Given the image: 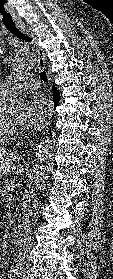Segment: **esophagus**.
Segmentation results:
<instances>
[{
  "label": "esophagus",
  "instance_id": "obj_1",
  "mask_svg": "<svg viewBox=\"0 0 113 279\" xmlns=\"http://www.w3.org/2000/svg\"><path fill=\"white\" fill-rule=\"evenodd\" d=\"M18 28L27 36L32 38L34 42V49L37 53L38 60H37V66L39 69H45L46 68V54L42 48L38 46V37L34 33V31L31 29L30 26L25 24H18Z\"/></svg>",
  "mask_w": 113,
  "mask_h": 279
}]
</instances>
